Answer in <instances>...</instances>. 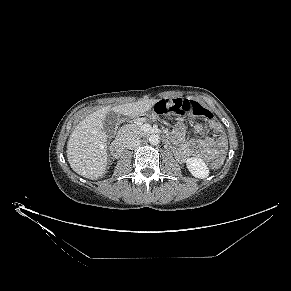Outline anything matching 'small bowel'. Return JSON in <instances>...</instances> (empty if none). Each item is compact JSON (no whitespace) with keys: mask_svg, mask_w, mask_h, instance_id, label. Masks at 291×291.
<instances>
[{"mask_svg":"<svg viewBox=\"0 0 291 291\" xmlns=\"http://www.w3.org/2000/svg\"><path fill=\"white\" fill-rule=\"evenodd\" d=\"M209 126L219 133L217 138L205 137L185 142V125L181 121L176 123L172 141L179 144L176 155L180 160L184 161L191 156L201 157L209 162L221 160V148L224 145V137L220 134L221 125L213 121ZM203 128L202 123H197L195 125V131L197 133H202Z\"/></svg>","mask_w":291,"mask_h":291,"instance_id":"small-bowel-1","label":"small bowel"}]
</instances>
